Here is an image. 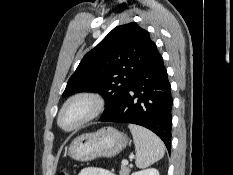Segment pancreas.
Segmentation results:
<instances>
[{
	"label": "pancreas",
	"instance_id": "obj_1",
	"mask_svg": "<svg viewBox=\"0 0 233 175\" xmlns=\"http://www.w3.org/2000/svg\"><path fill=\"white\" fill-rule=\"evenodd\" d=\"M130 169L126 166H121L120 175H129Z\"/></svg>",
	"mask_w": 233,
	"mask_h": 175
}]
</instances>
